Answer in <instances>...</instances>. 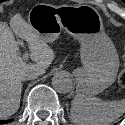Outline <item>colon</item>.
<instances>
[{"label":"colon","instance_id":"colon-1","mask_svg":"<svg viewBox=\"0 0 125 125\" xmlns=\"http://www.w3.org/2000/svg\"><path fill=\"white\" fill-rule=\"evenodd\" d=\"M123 60H124V65H123V69L121 70L120 75H119V83L121 86L125 87V47H124Z\"/></svg>","mask_w":125,"mask_h":125}]
</instances>
